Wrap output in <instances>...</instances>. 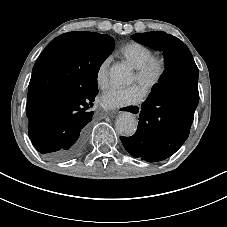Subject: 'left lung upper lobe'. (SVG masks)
<instances>
[{
    "instance_id": "left-lung-upper-lobe-1",
    "label": "left lung upper lobe",
    "mask_w": 227,
    "mask_h": 227,
    "mask_svg": "<svg viewBox=\"0 0 227 227\" xmlns=\"http://www.w3.org/2000/svg\"><path fill=\"white\" fill-rule=\"evenodd\" d=\"M132 38L143 45L163 52L166 66L163 76L176 66V61L181 54H183L186 58L193 59L188 47L182 41L165 32L154 31L134 34L132 35Z\"/></svg>"
}]
</instances>
